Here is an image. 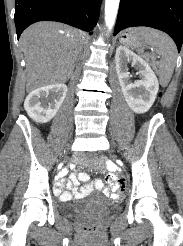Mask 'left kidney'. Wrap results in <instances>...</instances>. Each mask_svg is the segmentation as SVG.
Returning <instances> with one entry per match:
<instances>
[{
	"label": "left kidney",
	"mask_w": 183,
	"mask_h": 246,
	"mask_svg": "<svg viewBox=\"0 0 183 246\" xmlns=\"http://www.w3.org/2000/svg\"><path fill=\"white\" fill-rule=\"evenodd\" d=\"M116 71L125 101L131 110L142 114L153 105L159 90L158 79L149 64L125 46H119L115 54ZM127 62L139 70L140 80H130Z\"/></svg>",
	"instance_id": "5707ae66"
}]
</instances>
